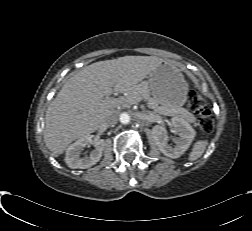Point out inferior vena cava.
Returning a JSON list of instances; mask_svg holds the SVG:
<instances>
[{"label":"inferior vena cava","mask_w":252,"mask_h":231,"mask_svg":"<svg viewBox=\"0 0 252 231\" xmlns=\"http://www.w3.org/2000/svg\"><path fill=\"white\" fill-rule=\"evenodd\" d=\"M118 122V115L117 114H111L107 116L103 122V125L106 127H111L116 125Z\"/></svg>","instance_id":"obj_1"}]
</instances>
